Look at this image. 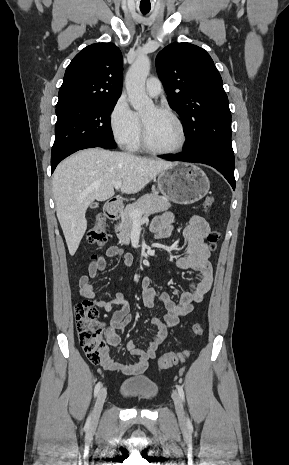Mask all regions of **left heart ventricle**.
I'll use <instances>...</instances> for the list:
<instances>
[{"mask_svg":"<svg viewBox=\"0 0 289 465\" xmlns=\"http://www.w3.org/2000/svg\"><path fill=\"white\" fill-rule=\"evenodd\" d=\"M149 142L160 149H172L180 142V131L176 122L166 113L149 107L141 114Z\"/></svg>","mask_w":289,"mask_h":465,"instance_id":"1","label":"left heart ventricle"}]
</instances>
